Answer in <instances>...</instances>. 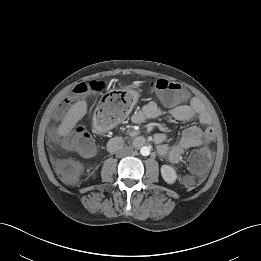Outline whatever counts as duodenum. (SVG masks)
<instances>
[{"instance_id":"410a0bca","label":"duodenum","mask_w":261,"mask_h":261,"mask_svg":"<svg viewBox=\"0 0 261 261\" xmlns=\"http://www.w3.org/2000/svg\"><path fill=\"white\" fill-rule=\"evenodd\" d=\"M146 143V139L143 136H137L133 139V144L135 146H142ZM124 141L121 137H114L108 141L107 149L111 152L122 148Z\"/></svg>"}]
</instances>
